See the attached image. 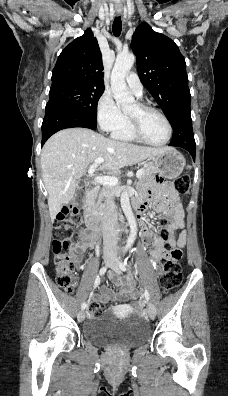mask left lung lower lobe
I'll return each mask as SVG.
<instances>
[{
	"mask_svg": "<svg viewBox=\"0 0 228 396\" xmlns=\"http://www.w3.org/2000/svg\"><path fill=\"white\" fill-rule=\"evenodd\" d=\"M171 124L173 136L169 145L186 149L195 161L196 143L192 129L190 108L181 109L180 120Z\"/></svg>",
	"mask_w": 228,
	"mask_h": 396,
	"instance_id": "obj_1",
	"label": "left lung lower lobe"
}]
</instances>
